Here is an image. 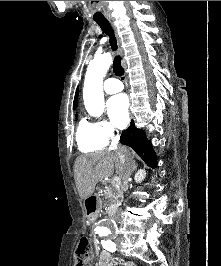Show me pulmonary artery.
I'll list each match as a JSON object with an SVG mask.
<instances>
[{
    "label": "pulmonary artery",
    "mask_w": 221,
    "mask_h": 266,
    "mask_svg": "<svg viewBox=\"0 0 221 266\" xmlns=\"http://www.w3.org/2000/svg\"><path fill=\"white\" fill-rule=\"evenodd\" d=\"M103 88L106 93L114 94L123 90V84L115 78H109L104 82Z\"/></svg>",
    "instance_id": "1"
}]
</instances>
